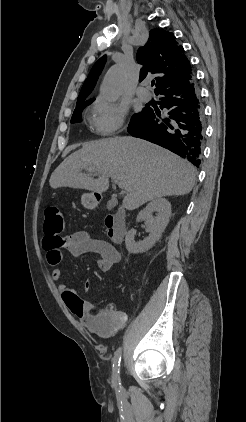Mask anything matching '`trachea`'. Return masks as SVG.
<instances>
[{
  "instance_id": "obj_1",
  "label": "trachea",
  "mask_w": 246,
  "mask_h": 422,
  "mask_svg": "<svg viewBox=\"0 0 246 422\" xmlns=\"http://www.w3.org/2000/svg\"><path fill=\"white\" fill-rule=\"evenodd\" d=\"M154 84H155V82H154V81H152V82H151V86H154Z\"/></svg>"
}]
</instances>
